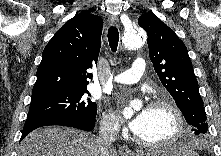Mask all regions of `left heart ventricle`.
I'll use <instances>...</instances> for the list:
<instances>
[{
    "label": "left heart ventricle",
    "instance_id": "obj_1",
    "mask_svg": "<svg viewBox=\"0 0 221 156\" xmlns=\"http://www.w3.org/2000/svg\"><path fill=\"white\" fill-rule=\"evenodd\" d=\"M175 129L173 114L166 108L151 107L147 121L137 135L147 141L168 138Z\"/></svg>",
    "mask_w": 221,
    "mask_h": 156
}]
</instances>
